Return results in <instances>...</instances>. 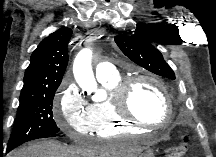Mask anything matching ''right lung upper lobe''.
<instances>
[{
    "label": "right lung upper lobe",
    "instance_id": "cb5924a9",
    "mask_svg": "<svg viewBox=\"0 0 216 157\" xmlns=\"http://www.w3.org/2000/svg\"><path fill=\"white\" fill-rule=\"evenodd\" d=\"M71 35L72 30L63 27L41 41L25 71L20 98L59 87L68 63L67 44Z\"/></svg>",
    "mask_w": 216,
    "mask_h": 157
}]
</instances>
